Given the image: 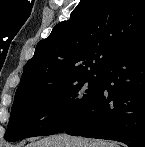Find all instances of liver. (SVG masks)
<instances>
[{"mask_svg":"<svg viewBox=\"0 0 145 147\" xmlns=\"http://www.w3.org/2000/svg\"><path fill=\"white\" fill-rule=\"evenodd\" d=\"M27 147H119L114 142L97 139L73 137L66 134L45 137L37 142H32Z\"/></svg>","mask_w":145,"mask_h":147,"instance_id":"6515ba94","label":"liver"}]
</instances>
